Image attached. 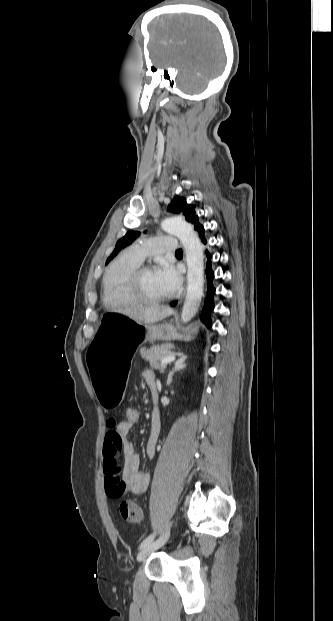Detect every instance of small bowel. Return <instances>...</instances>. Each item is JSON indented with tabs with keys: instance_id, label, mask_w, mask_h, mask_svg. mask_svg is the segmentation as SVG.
I'll use <instances>...</instances> for the list:
<instances>
[{
	"instance_id": "1",
	"label": "small bowel",
	"mask_w": 333,
	"mask_h": 621,
	"mask_svg": "<svg viewBox=\"0 0 333 621\" xmlns=\"http://www.w3.org/2000/svg\"><path fill=\"white\" fill-rule=\"evenodd\" d=\"M144 379L148 386L156 385V376L150 369L144 371ZM132 424L125 420H110L103 444V469L105 475V490L108 496L120 498L125 493L141 495L147 491L150 476L140 470L139 457L129 433ZM160 433V418L156 409L153 410L151 429L146 441L145 451L148 457L155 454Z\"/></svg>"
}]
</instances>
